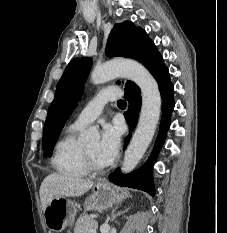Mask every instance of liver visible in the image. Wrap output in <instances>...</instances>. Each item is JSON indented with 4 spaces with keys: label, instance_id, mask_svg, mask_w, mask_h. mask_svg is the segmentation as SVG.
Returning a JSON list of instances; mask_svg holds the SVG:
<instances>
[{
    "label": "liver",
    "instance_id": "obj_1",
    "mask_svg": "<svg viewBox=\"0 0 227 233\" xmlns=\"http://www.w3.org/2000/svg\"><path fill=\"white\" fill-rule=\"evenodd\" d=\"M93 186L94 183L90 180L49 174L44 178L39 190L42 210L44 211L53 199L82 196Z\"/></svg>",
    "mask_w": 227,
    "mask_h": 233
}]
</instances>
